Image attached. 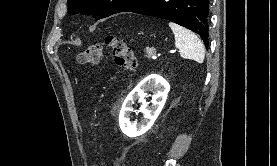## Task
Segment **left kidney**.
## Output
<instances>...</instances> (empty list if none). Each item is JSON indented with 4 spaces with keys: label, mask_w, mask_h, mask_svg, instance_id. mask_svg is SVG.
Returning a JSON list of instances; mask_svg holds the SVG:
<instances>
[{
    "label": "left kidney",
    "mask_w": 277,
    "mask_h": 166,
    "mask_svg": "<svg viewBox=\"0 0 277 166\" xmlns=\"http://www.w3.org/2000/svg\"><path fill=\"white\" fill-rule=\"evenodd\" d=\"M170 90L169 83L161 76L152 74L143 79L126 97L119 113V126L128 137H137L148 131L162 111ZM147 91L153 92L152 105L148 107L145 100ZM138 100L142 103L140 112L143 113L141 123L130 120L133 104Z\"/></svg>",
    "instance_id": "5707ae66"
}]
</instances>
